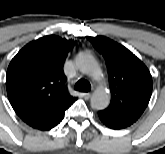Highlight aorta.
<instances>
[{"instance_id": "762f6f07", "label": "aorta", "mask_w": 165, "mask_h": 154, "mask_svg": "<svg viewBox=\"0 0 165 154\" xmlns=\"http://www.w3.org/2000/svg\"><path fill=\"white\" fill-rule=\"evenodd\" d=\"M76 67L97 80L101 79L103 76L102 70L96 61V59L87 53H80L75 59ZM110 103L109 92L104 89H97L91 98V106L96 110H103L108 107Z\"/></svg>"}]
</instances>
